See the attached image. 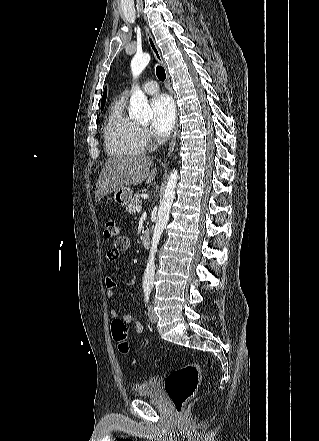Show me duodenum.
Returning a JSON list of instances; mask_svg holds the SVG:
<instances>
[{"label": "duodenum", "instance_id": "duodenum-1", "mask_svg": "<svg viewBox=\"0 0 319 441\" xmlns=\"http://www.w3.org/2000/svg\"><path fill=\"white\" fill-rule=\"evenodd\" d=\"M141 242L145 248H148L150 245V232L145 230L141 235Z\"/></svg>", "mask_w": 319, "mask_h": 441}]
</instances>
